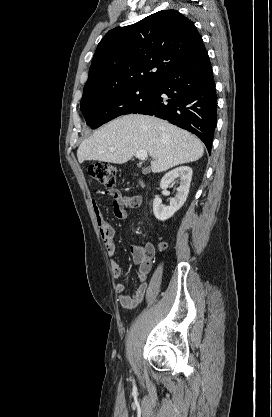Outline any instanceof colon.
<instances>
[{
    "label": "colon",
    "instance_id": "1",
    "mask_svg": "<svg viewBox=\"0 0 272 417\" xmlns=\"http://www.w3.org/2000/svg\"><path fill=\"white\" fill-rule=\"evenodd\" d=\"M90 176L98 183L111 187L115 183V168L107 162L98 161L91 163L88 168ZM160 247H164L163 244Z\"/></svg>",
    "mask_w": 272,
    "mask_h": 417
}]
</instances>
